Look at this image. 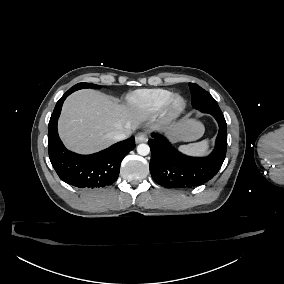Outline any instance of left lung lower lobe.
I'll return each mask as SVG.
<instances>
[{"mask_svg": "<svg viewBox=\"0 0 284 284\" xmlns=\"http://www.w3.org/2000/svg\"><path fill=\"white\" fill-rule=\"evenodd\" d=\"M211 114L219 124L213 152L203 158L189 157L176 150L160 134L153 133L148 141L151 148L150 173L155 182L166 188H191L213 178L221 168L227 150V124L217 103L194 107Z\"/></svg>", "mask_w": 284, "mask_h": 284, "instance_id": "1", "label": "left lung lower lobe"}]
</instances>
